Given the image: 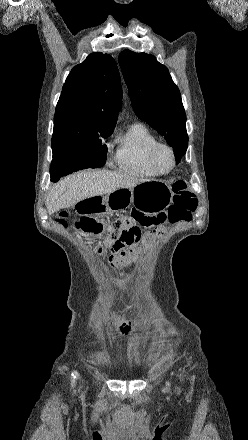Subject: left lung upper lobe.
Returning <instances> with one entry per match:
<instances>
[{
  "instance_id": "left-lung-upper-lobe-1",
  "label": "left lung upper lobe",
  "mask_w": 248,
  "mask_h": 440,
  "mask_svg": "<svg viewBox=\"0 0 248 440\" xmlns=\"http://www.w3.org/2000/svg\"><path fill=\"white\" fill-rule=\"evenodd\" d=\"M119 64L136 115L164 136L176 162L186 153V114L178 87L153 55L124 50Z\"/></svg>"
}]
</instances>
